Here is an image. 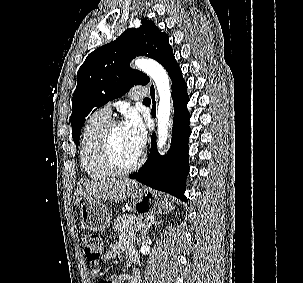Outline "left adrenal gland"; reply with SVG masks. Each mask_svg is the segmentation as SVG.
<instances>
[{"mask_svg": "<svg viewBox=\"0 0 303 283\" xmlns=\"http://www.w3.org/2000/svg\"><path fill=\"white\" fill-rule=\"evenodd\" d=\"M159 222H157L156 221V219L155 218H153L152 220H150L147 224H146V226L144 227V229L142 230V241H144L145 240V237H146V234H147V232H148V230L153 226V225H156V224H158Z\"/></svg>", "mask_w": 303, "mask_h": 283, "instance_id": "1", "label": "left adrenal gland"}]
</instances>
